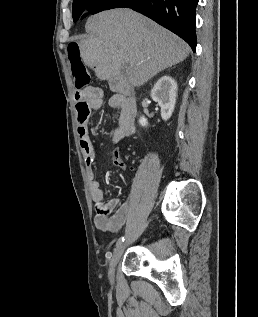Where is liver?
Masks as SVG:
<instances>
[{"label":"liver","instance_id":"obj_1","mask_svg":"<svg viewBox=\"0 0 258 317\" xmlns=\"http://www.w3.org/2000/svg\"><path fill=\"white\" fill-rule=\"evenodd\" d=\"M89 38L79 44L80 56L109 84L129 82L141 86L160 70L184 60L190 46L163 26L131 8H113L92 14L86 20ZM122 64H132L128 76L121 74Z\"/></svg>","mask_w":258,"mask_h":317}]
</instances>
